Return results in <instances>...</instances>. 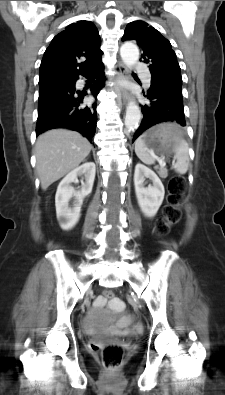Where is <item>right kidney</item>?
I'll list each match as a JSON object with an SVG mask.
<instances>
[{"mask_svg":"<svg viewBox=\"0 0 225 395\" xmlns=\"http://www.w3.org/2000/svg\"><path fill=\"white\" fill-rule=\"evenodd\" d=\"M95 172V164L87 162L68 173L60 182L55 196V206L57 220L62 229L69 230L78 222L83 200L92 191ZM78 176H84L85 182L82 183L81 189L76 191L71 183L76 182ZM72 197L73 206L69 207Z\"/></svg>","mask_w":225,"mask_h":395,"instance_id":"obj_1","label":"right kidney"}]
</instances>
